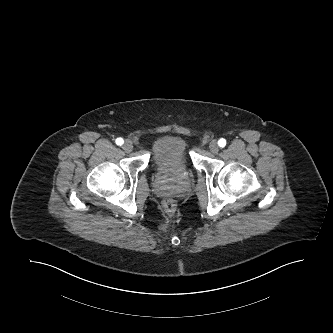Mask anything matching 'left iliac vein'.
<instances>
[{
	"label": "left iliac vein",
	"instance_id": "4c4485c4",
	"mask_svg": "<svg viewBox=\"0 0 333 333\" xmlns=\"http://www.w3.org/2000/svg\"><path fill=\"white\" fill-rule=\"evenodd\" d=\"M209 149L211 153L217 154L219 152V146L216 140H212L209 144Z\"/></svg>",
	"mask_w": 333,
	"mask_h": 333
}]
</instances>
